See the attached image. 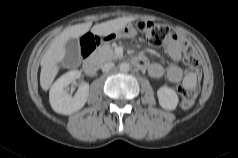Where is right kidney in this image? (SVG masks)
I'll return each mask as SVG.
<instances>
[{"mask_svg": "<svg viewBox=\"0 0 238 158\" xmlns=\"http://www.w3.org/2000/svg\"><path fill=\"white\" fill-rule=\"evenodd\" d=\"M78 70H72L58 78L50 89V104L52 109L63 115H70L79 111L86 103L89 95V84L84 83L72 97L65 88L80 77Z\"/></svg>", "mask_w": 238, "mask_h": 158, "instance_id": "1", "label": "right kidney"}]
</instances>
